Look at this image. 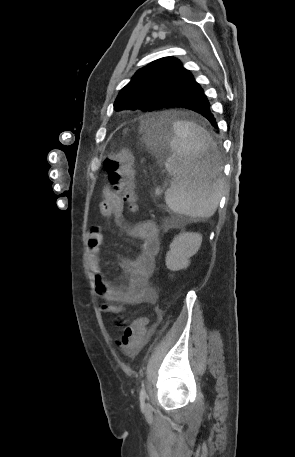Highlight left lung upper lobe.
<instances>
[{
	"instance_id": "1",
	"label": "left lung upper lobe",
	"mask_w": 295,
	"mask_h": 457,
	"mask_svg": "<svg viewBox=\"0 0 295 457\" xmlns=\"http://www.w3.org/2000/svg\"><path fill=\"white\" fill-rule=\"evenodd\" d=\"M191 83V73L173 57L155 60L139 69L119 92L114 108L154 111L157 105Z\"/></svg>"
}]
</instances>
